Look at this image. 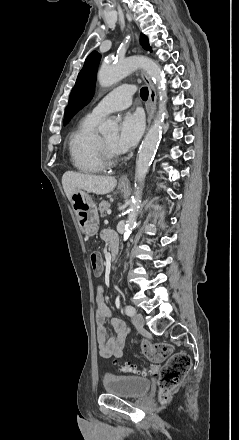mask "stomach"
Returning a JSON list of instances; mask_svg holds the SVG:
<instances>
[{"mask_svg":"<svg viewBox=\"0 0 239 440\" xmlns=\"http://www.w3.org/2000/svg\"><path fill=\"white\" fill-rule=\"evenodd\" d=\"M126 192L127 188H120ZM73 212L77 218V224L85 236H95L99 230V216L96 204L85 190L74 192L71 200Z\"/></svg>","mask_w":239,"mask_h":440,"instance_id":"obj_1","label":"stomach"}]
</instances>
